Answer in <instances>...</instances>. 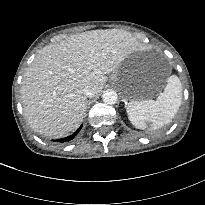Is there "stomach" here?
<instances>
[{
	"instance_id": "stomach-1",
	"label": "stomach",
	"mask_w": 205,
	"mask_h": 205,
	"mask_svg": "<svg viewBox=\"0 0 205 205\" xmlns=\"http://www.w3.org/2000/svg\"><path fill=\"white\" fill-rule=\"evenodd\" d=\"M142 66L128 60L123 62L111 75V82L129 101H143L156 96L164 86V81L149 83L145 80Z\"/></svg>"
}]
</instances>
